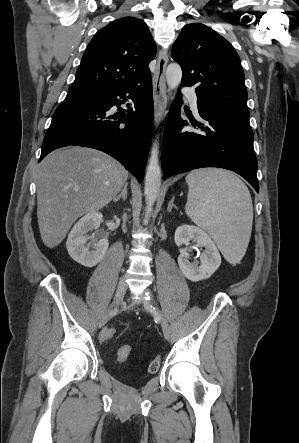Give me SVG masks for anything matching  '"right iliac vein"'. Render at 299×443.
<instances>
[{
    "mask_svg": "<svg viewBox=\"0 0 299 443\" xmlns=\"http://www.w3.org/2000/svg\"><path fill=\"white\" fill-rule=\"evenodd\" d=\"M126 289H127V286H126L125 281L121 280L117 285L114 301H113L111 307L100 318L99 327H103L109 321V319L111 317V312L113 311V309H115V307H117L121 303V301L126 293Z\"/></svg>",
    "mask_w": 299,
    "mask_h": 443,
    "instance_id": "63e3f726",
    "label": "right iliac vein"
}]
</instances>
